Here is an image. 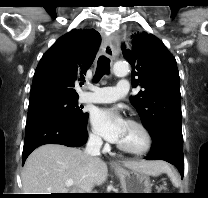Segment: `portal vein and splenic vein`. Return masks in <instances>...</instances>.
<instances>
[{"instance_id": "18ae733b", "label": "portal vein and splenic vein", "mask_w": 208, "mask_h": 198, "mask_svg": "<svg viewBox=\"0 0 208 198\" xmlns=\"http://www.w3.org/2000/svg\"><path fill=\"white\" fill-rule=\"evenodd\" d=\"M73 184H74L73 180H67L65 183L66 186H72Z\"/></svg>"}]
</instances>
